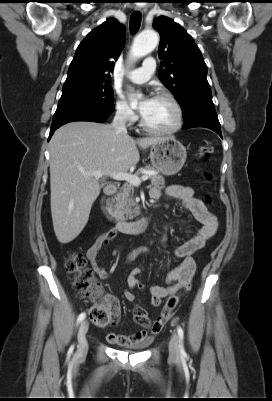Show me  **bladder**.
I'll return each instance as SVG.
<instances>
[{"label": "bladder", "mask_w": 272, "mask_h": 401, "mask_svg": "<svg viewBox=\"0 0 272 401\" xmlns=\"http://www.w3.org/2000/svg\"><path fill=\"white\" fill-rule=\"evenodd\" d=\"M145 346H146L145 344H138V345L129 346L128 348L135 350V349H141V348H143Z\"/></svg>", "instance_id": "bladder-1"}]
</instances>
